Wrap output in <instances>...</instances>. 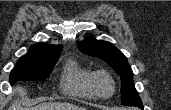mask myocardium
Instances as JSON below:
<instances>
[{"label": "myocardium", "instance_id": "f54148a6", "mask_svg": "<svg viewBox=\"0 0 171 110\" xmlns=\"http://www.w3.org/2000/svg\"><path fill=\"white\" fill-rule=\"evenodd\" d=\"M101 77L107 78L111 82L112 91L108 95H103L98 90L97 83H98L99 78H101ZM90 85H91V88H92V91H93L95 97H98L101 99H108V98L112 97L116 92L115 79L108 71L103 70V69L92 72L91 78H90Z\"/></svg>", "mask_w": 171, "mask_h": 110}]
</instances>
